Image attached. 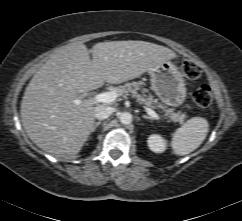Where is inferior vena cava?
<instances>
[{"label":"inferior vena cava","mask_w":242,"mask_h":221,"mask_svg":"<svg viewBox=\"0 0 242 221\" xmlns=\"http://www.w3.org/2000/svg\"><path fill=\"white\" fill-rule=\"evenodd\" d=\"M113 112H114V108L105 106V105H99L95 107V118H97L98 120H105Z\"/></svg>","instance_id":"obj_1"}]
</instances>
